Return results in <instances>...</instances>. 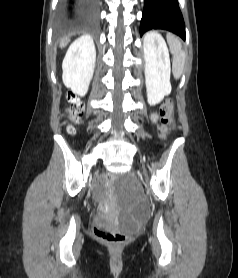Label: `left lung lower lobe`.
Returning a JSON list of instances; mask_svg holds the SVG:
<instances>
[{"label": "left lung lower lobe", "mask_w": 238, "mask_h": 278, "mask_svg": "<svg viewBox=\"0 0 238 278\" xmlns=\"http://www.w3.org/2000/svg\"><path fill=\"white\" fill-rule=\"evenodd\" d=\"M151 29L169 30L185 39V25L178 0H145L140 35Z\"/></svg>", "instance_id": "left-lung-lower-lobe-1"}]
</instances>
